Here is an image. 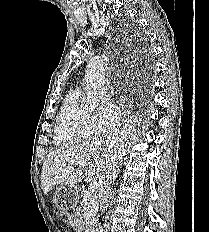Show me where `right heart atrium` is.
<instances>
[{
    "label": "right heart atrium",
    "mask_w": 209,
    "mask_h": 232,
    "mask_svg": "<svg viewBox=\"0 0 209 232\" xmlns=\"http://www.w3.org/2000/svg\"><path fill=\"white\" fill-rule=\"evenodd\" d=\"M119 109L109 101H104L92 115L96 131H104L119 120Z\"/></svg>",
    "instance_id": "1"
}]
</instances>
